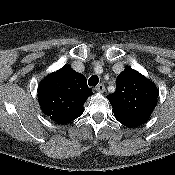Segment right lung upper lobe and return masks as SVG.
Wrapping results in <instances>:
<instances>
[{
  "mask_svg": "<svg viewBox=\"0 0 175 175\" xmlns=\"http://www.w3.org/2000/svg\"><path fill=\"white\" fill-rule=\"evenodd\" d=\"M92 94L86 77L70 66L49 74L38 86L39 104L43 113L63 125L83 113V105Z\"/></svg>",
  "mask_w": 175,
  "mask_h": 175,
  "instance_id": "cb5924a9",
  "label": "right lung upper lobe"
}]
</instances>
